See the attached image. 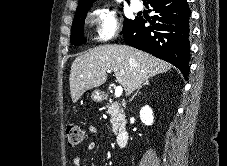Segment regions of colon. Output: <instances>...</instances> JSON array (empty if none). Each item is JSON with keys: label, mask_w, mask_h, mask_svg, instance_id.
<instances>
[{"label": "colon", "mask_w": 227, "mask_h": 166, "mask_svg": "<svg viewBox=\"0 0 227 166\" xmlns=\"http://www.w3.org/2000/svg\"><path fill=\"white\" fill-rule=\"evenodd\" d=\"M68 145L75 147L86 140V133L77 125L70 124L66 127Z\"/></svg>", "instance_id": "obj_1"}]
</instances>
